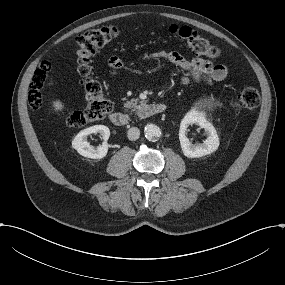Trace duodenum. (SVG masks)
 Returning a JSON list of instances; mask_svg holds the SVG:
<instances>
[{"mask_svg": "<svg viewBox=\"0 0 285 285\" xmlns=\"http://www.w3.org/2000/svg\"><path fill=\"white\" fill-rule=\"evenodd\" d=\"M169 109L168 103H148L144 105L139 111L140 118L157 115L166 112ZM109 118L111 122L117 127H126L128 125V117L125 113L120 111H113Z\"/></svg>", "mask_w": 285, "mask_h": 285, "instance_id": "1", "label": "duodenum"}]
</instances>
